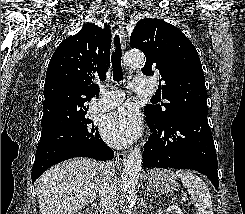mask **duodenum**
Masks as SVG:
<instances>
[{"label": "duodenum", "instance_id": "1", "mask_svg": "<svg viewBox=\"0 0 245 214\" xmlns=\"http://www.w3.org/2000/svg\"><path fill=\"white\" fill-rule=\"evenodd\" d=\"M87 214H101V212L98 208L92 207L89 209Z\"/></svg>", "mask_w": 245, "mask_h": 214}]
</instances>
